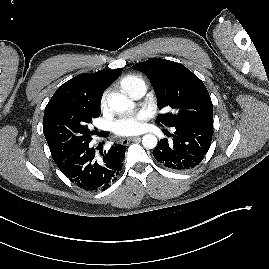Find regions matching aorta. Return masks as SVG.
<instances>
[{"label":"aorta","mask_w":269,"mask_h":269,"mask_svg":"<svg viewBox=\"0 0 269 269\" xmlns=\"http://www.w3.org/2000/svg\"><path fill=\"white\" fill-rule=\"evenodd\" d=\"M108 105L118 113L125 112L134 106L131 100L121 94L112 95L108 99ZM142 144L147 149H153L157 145V138L153 134H146L142 138Z\"/></svg>","instance_id":"obj_1"}]
</instances>
